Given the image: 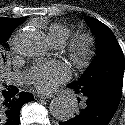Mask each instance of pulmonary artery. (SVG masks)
<instances>
[{"label":"pulmonary artery","mask_w":125,"mask_h":125,"mask_svg":"<svg viewBox=\"0 0 125 125\" xmlns=\"http://www.w3.org/2000/svg\"><path fill=\"white\" fill-rule=\"evenodd\" d=\"M57 47H61L62 46V44H55Z\"/></svg>","instance_id":"e3ab8cb5"}]
</instances>
